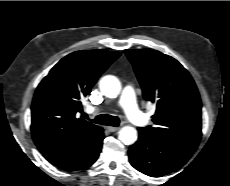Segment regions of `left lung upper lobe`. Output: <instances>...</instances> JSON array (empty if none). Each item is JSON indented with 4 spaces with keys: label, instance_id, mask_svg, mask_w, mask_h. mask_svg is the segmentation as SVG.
<instances>
[{
    "label": "left lung upper lobe",
    "instance_id": "1",
    "mask_svg": "<svg viewBox=\"0 0 230 186\" xmlns=\"http://www.w3.org/2000/svg\"><path fill=\"white\" fill-rule=\"evenodd\" d=\"M145 100L156 104L155 126L138 128L158 138L198 145L201 100L189 72L174 58L153 49L125 50Z\"/></svg>",
    "mask_w": 230,
    "mask_h": 186
}]
</instances>
